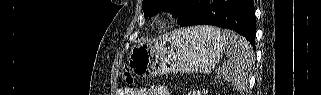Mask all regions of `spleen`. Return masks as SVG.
<instances>
[{
  "label": "spleen",
  "mask_w": 321,
  "mask_h": 95,
  "mask_svg": "<svg viewBox=\"0 0 321 95\" xmlns=\"http://www.w3.org/2000/svg\"><path fill=\"white\" fill-rule=\"evenodd\" d=\"M205 35L220 40L224 44L227 62L222 70L225 80L238 90L248 84V77L254 64V53L249 42L235 32L223 31L214 27H201Z\"/></svg>",
  "instance_id": "spleen-1"
}]
</instances>
